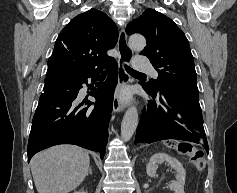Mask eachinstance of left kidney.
Segmentation results:
<instances>
[{"label":"left kidney","instance_id":"left-kidney-1","mask_svg":"<svg viewBox=\"0 0 237 193\" xmlns=\"http://www.w3.org/2000/svg\"><path fill=\"white\" fill-rule=\"evenodd\" d=\"M166 162L168 165L173 168L177 175L176 180L169 184V188L174 191V193H185L184 192V184H185V176L186 172L183 168V165L176 159L165 153H156L151 158L149 163L147 164L146 170L147 175L150 177H154L156 175V170L158 168V164Z\"/></svg>","mask_w":237,"mask_h":193}]
</instances>
